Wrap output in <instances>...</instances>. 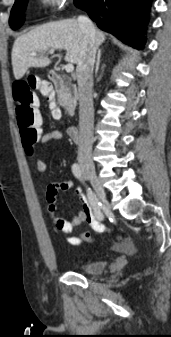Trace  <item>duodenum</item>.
<instances>
[{
  "mask_svg": "<svg viewBox=\"0 0 171 337\" xmlns=\"http://www.w3.org/2000/svg\"><path fill=\"white\" fill-rule=\"evenodd\" d=\"M48 77L55 87L56 90H61L64 88L67 82V78L58 72L51 71L48 74ZM69 136L74 140V141H80V130L76 125H71L67 129Z\"/></svg>",
  "mask_w": 171,
  "mask_h": 337,
  "instance_id": "obj_1",
  "label": "duodenum"
}]
</instances>
